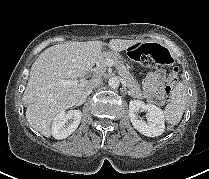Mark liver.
<instances>
[{
	"label": "liver",
	"mask_w": 209,
	"mask_h": 179,
	"mask_svg": "<svg viewBox=\"0 0 209 179\" xmlns=\"http://www.w3.org/2000/svg\"><path fill=\"white\" fill-rule=\"evenodd\" d=\"M138 40L112 39L113 52L127 50ZM101 41L68 42L44 50L33 63L23 94L27 105L26 119L45 137L51 136V125L57 115L78 105L89 81L62 86L61 80H75L91 71L102 54Z\"/></svg>",
	"instance_id": "1"
}]
</instances>
